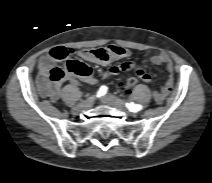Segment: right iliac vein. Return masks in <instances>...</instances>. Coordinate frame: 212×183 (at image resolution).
Here are the masks:
<instances>
[{
    "mask_svg": "<svg viewBox=\"0 0 212 183\" xmlns=\"http://www.w3.org/2000/svg\"><path fill=\"white\" fill-rule=\"evenodd\" d=\"M93 101H94V98L90 97L88 100H86V101L80 103L79 105L75 106L72 109V112L74 114H78V113L82 112L83 110L89 109L92 106Z\"/></svg>",
    "mask_w": 212,
    "mask_h": 183,
    "instance_id": "63e3f726",
    "label": "right iliac vein"
}]
</instances>
